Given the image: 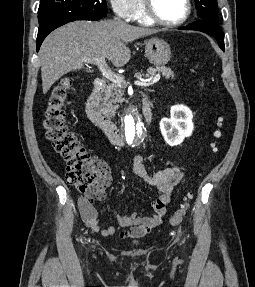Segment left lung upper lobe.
I'll use <instances>...</instances> for the list:
<instances>
[{"mask_svg": "<svg viewBox=\"0 0 255 287\" xmlns=\"http://www.w3.org/2000/svg\"><path fill=\"white\" fill-rule=\"evenodd\" d=\"M195 5L202 20L219 22L217 0H195Z\"/></svg>", "mask_w": 255, "mask_h": 287, "instance_id": "left-lung-upper-lobe-1", "label": "left lung upper lobe"}]
</instances>
